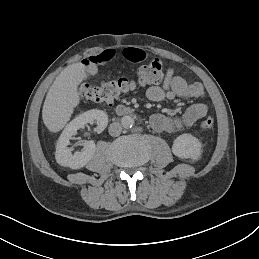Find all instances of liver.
<instances>
[{"label":"liver","mask_w":259,"mask_h":259,"mask_svg":"<svg viewBox=\"0 0 259 259\" xmlns=\"http://www.w3.org/2000/svg\"><path fill=\"white\" fill-rule=\"evenodd\" d=\"M86 69L82 63L68 65L50 87L42 110L43 122L49 131H60L70 120L80 101L77 87L87 78Z\"/></svg>","instance_id":"liver-1"}]
</instances>
